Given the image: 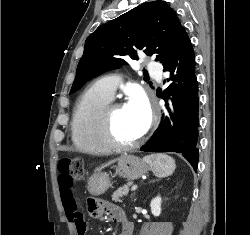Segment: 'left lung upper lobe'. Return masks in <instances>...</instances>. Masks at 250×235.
Here are the masks:
<instances>
[{
    "mask_svg": "<svg viewBox=\"0 0 250 235\" xmlns=\"http://www.w3.org/2000/svg\"><path fill=\"white\" fill-rule=\"evenodd\" d=\"M181 29L175 11L161 0L143 3L99 26L85 41L70 93L93 77L127 64L125 59L137 60L140 51L163 63Z\"/></svg>",
    "mask_w": 250,
    "mask_h": 235,
    "instance_id": "5c2ea615",
    "label": "left lung upper lobe"
}]
</instances>
